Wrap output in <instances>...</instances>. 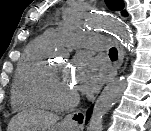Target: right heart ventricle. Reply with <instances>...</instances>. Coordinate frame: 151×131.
Returning a JSON list of instances; mask_svg holds the SVG:
<instances>
[{
    "instance_id": "right-heart-ventricle-1",
    "label": "right heart ventricle",
    "mask_w": 151,
    "mask_h": 131,
    "mask_svg": "<svg viewBox=\"0 0 151 131\" xmlns=\"http://www.w3.org/2000/svg\"><path fill=\"white\" fill-rule=\"evenodd\" d=\"M51 45L44 37H40L25 47L12 85L11 104L14 109L26 110L40 106L34 86L46 65V54Z\"/></svg>"
}]
</instances>
